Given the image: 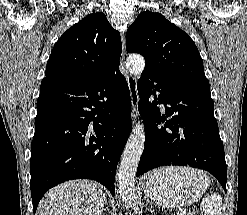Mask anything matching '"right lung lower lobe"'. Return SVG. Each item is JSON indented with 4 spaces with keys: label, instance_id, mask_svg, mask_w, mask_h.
Segmentation results:
<instances>
[{
    "label": "right lung lower lobe",
    "instance_id": "98d812e1",
    "mask_svg": "<svg viewBox=\"0 0 247 215\" xmlns=\"http://www.w3.org/2000/svg\"><path fill=\"white\" fill-rule=\"evenodd\" d=\"M125 77L114 68L91 83L44 78L31 143L33 210L47 190L91 179L115 195V172L131 130Z\"/></svg>",
    "mask_w": 247,
    "mask_h": 215
}]
</instances>
